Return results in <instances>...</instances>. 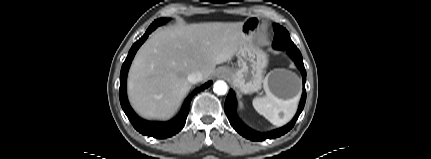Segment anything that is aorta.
<instances>
[{
	"label": "aorta",
	"mask_w": 431,
	"mask_h": 159,
	"mask_svg": "<svg viewBox=\"0 0 431 159\" xmlns=\"http://www.w3.org/2000/svg\"><path fill=\"white\" fill-rule=\"evenodd\" d=\"M227 90H228V86H227L226 82H224L223 80H218L214 83L213 91L216 94L224 95V94H226Z\"/></svg>",
	"instance_id": "762f6f07"
}]
</instances>
